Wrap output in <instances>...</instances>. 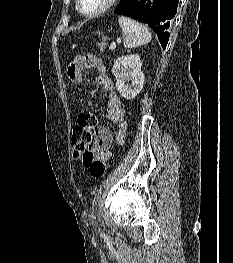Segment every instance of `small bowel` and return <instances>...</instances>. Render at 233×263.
<instances>
[{
	"instance_id": "1",
	"label": "small bowel",
	"mask_w": 233,
	"mask_h": 263,
	"mask_svg": "<svg viewBox=\"0 0 233 263\" xmlns=\"http://www.w3.org/2000/svg\"><path fill=\"white\" fill-rule=\"evenodd\" d=\"M96 69L95 81L107 93L105 108L108 119L115 124V140L122 145L127 137V114L122 105L120 96L115 91L114 82L108 76L101 60L94 54L80 56L68 67V77L74 84L84 82V71ZM113 135L111 131L102 126H98L95 137L91 145L93 159L107 162L111 157L110 147Z\"/></svg>"
}]
</instances>
